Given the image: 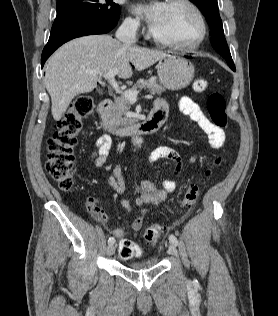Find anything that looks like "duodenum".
Masks as SVG:
<instances>
[{
  "label": "duodenum",
  "mask_w": 278,
  "mask_h": 316,
  "mask_svg": "<svg viewBox=\"0 0 278 316\" xmlns=\"http://www.w3.org/2000/svg\"><path fill=\"white\" fill-rule=\"evenodd\" d=\"M112 105L113 102L109 98L98 104V120L101 128L117 136L151 134L156 132L165 120V112L160 108H153L145 120L125 127H115L108 119Z\"/></svg>",
  "instance_id": "1"
}]
</instances>
